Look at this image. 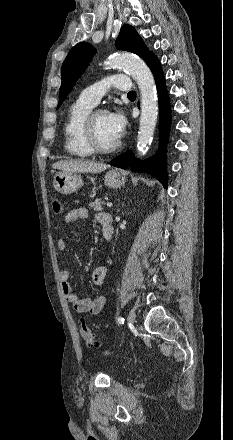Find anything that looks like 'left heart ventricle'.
<instances>
[{
    "label": "left heart ventricle",
    "instance_id": "left-heart-ventricle-1",
    "mask_svg": "<svg viewBox=\"0 0 233 440\" xmlns=\"http://www.w3.org/2000/svg\"><path fill=\"white\" fill-rule=\"evenodd\" d=\"M94 128L98 143L109 147L118 141V137L110 126L108 114H100L95 118Z\"/></svg>",
    "mask_w": 233,
    "mask_h": 440
}]
</instances>
